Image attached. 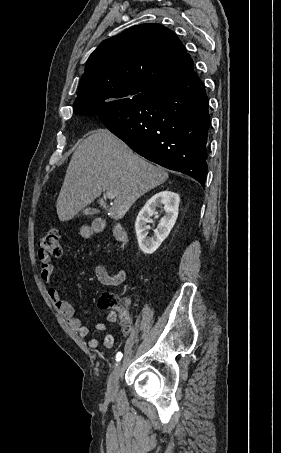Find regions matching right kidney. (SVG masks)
<instances>
[{
  "mask_svg": "<svg viewBox=\"0 0 281 453\" xmlns=\"http://www.w3.org/2000/svg\"><path fill=\"white\" fill-rule=\"evenodd\" d=\"M179 200L180 196L177 192L161 190V192H156L154 196H151L145 206L141 208L136 218L135 229L138 245L145 255L155 253L164 239L168 237L171 229H173L178 216ZM160 204H164L163 210H165V214L160 218L158 227L154 229L152 237H148V229L150 227L147 222H150L152 214H157L156 206H160Z\"/></svg>",
  "mask_w": 281,
  "mask_h": 453,
  "instance_id": "ca27d5eb",
  "label": "right kidney"
}]
</instances>
